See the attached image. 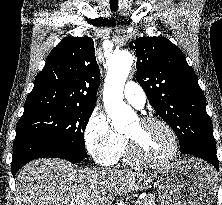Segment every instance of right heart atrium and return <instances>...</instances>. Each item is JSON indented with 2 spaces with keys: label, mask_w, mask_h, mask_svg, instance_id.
<instances>
[{
  "label": "right heart atrium",
  "mask_w": 222,
  "mask_h": 205,
  "mask_svg": "<svg viewBox=\"0 0 222 205\" xmlns=\"http://www.w3.org/2000/svg\"><path fill=\"white\" fill-rule=\"evenodd\" d=\"M84 139L88 152L100 165H111L125 144V138L112 128L100 111L91 114L84 130Z\"/></svg>",
  "instance_id": "right-heart-atrium-1"
}]
</instances>
